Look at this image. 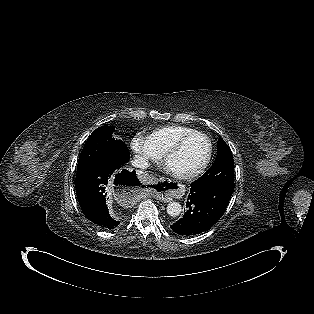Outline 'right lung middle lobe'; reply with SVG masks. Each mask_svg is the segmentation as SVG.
<instances>
[{
	"label": "right lung middle lobe",
	"mask_w": 314,
	"mask_h": 314,
	"mask_svg": "<svg viewBox=\"0 0 314 314\" xmlns=\"http://www.w3.org/2000/svg\"><path fill=\"white\" fill-rule=\"evenodd\" d=\"M113 132V126H102L92 132L80 154L77 175L104 163L129 160L126 144L112 137Z\"/></svg>",
	"instance_id": "1"
}]
</instances>
